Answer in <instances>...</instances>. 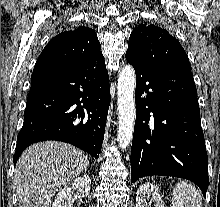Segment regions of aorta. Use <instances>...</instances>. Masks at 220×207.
<instances>
[{"instance_id":"762f6f07","label":"aorta","mask_w":220,"mask_h":207,"mask_svg":"<svg viewBox=\"0 0 220 207\" xmlns=\"http://www.w3.org/2000/svg\"><path fill=\"white\" fill-rule=\"evenodd\" d=\"M135 70L125 65L118 75L117 110H118V142L121 149L129 147L134 132L136 118L135 108Z\"/></svg>"}]
</instances>
